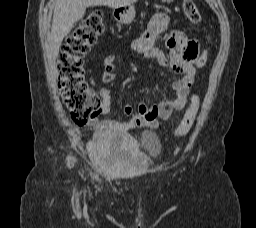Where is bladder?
<instances>
[{
  "mask_svg": "<svg viewBox=\"0 0 256 228\" xmlns=\"http://www.w3.org/2000/svg\"><path fill=\"white\" fill-rule=\"evenodd\" d=\"M162 145L154 131L142 133L141 142L125 134L105 133L96 136L90 153L96 167L112 173L131 174L144 169L150 157L161 153ZM113 163L110 167L109 164Z\"/></svg>",
  "mask_w": 256,
  "mask_h": 228,
  "instance_id": "obj_1",
  "label": "bladder"
}]
</instances>
